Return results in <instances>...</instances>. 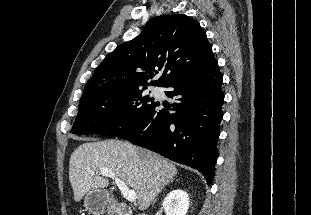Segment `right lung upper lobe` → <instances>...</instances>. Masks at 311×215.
Here are the masks:
<instances>
[{"label": "right lung upper lobe", "mask_w": 311, "mask_h": 215, "mask_svg": "<svg viewBox=\"0 0 311 215\" xmlns=\"http://www.w3.org/2000/svg\"><path fill=\"white\" fill-rule=\"evenodd\" d=\"M215 60L200 24L184 15H161L148 22L139 36L108 54L87 82L80 101L93 96L165 87ZM164 70L158 80L152 79Z\"/></svg>", "instance_id": "cb5924a9"}]
</instances>
